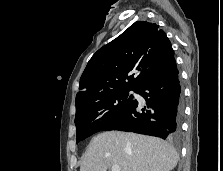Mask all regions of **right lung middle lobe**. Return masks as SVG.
I'll return each mask as SVG.
<instances>
[{
  "mask_svg": "<svg viewBox=\"0 0 223 171\" xmlns=\"http://www.w3.org/2000/svg\"><path fill=\"white\" fill-rule=\"evenodd\" d=\"M129 91L106 95L76 109V142L102 131L116 121L134 101L133 96H129Z\"/></svg>",
  "mask_w": 223,
  "mask_h": 171,
  "instance_id": "obj_1",
  "label": "right lung middle lobe"
}]
</instances>
